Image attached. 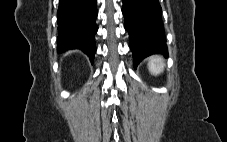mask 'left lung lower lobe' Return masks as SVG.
Instances as JSON below:
<instances>
[{
	"mask_svg": "<svg viewBox=\"0 0 227 142\" xmlns=\"http://www.w3.org/2000/svg\"><path fill=\"white\" fill-rule=\"evenodd\" d=\"M122 13L125 29L129 33L134 67L145 57L162 53L167 56V46L158 0H123Z\"/></svg>",
	"mask_w": 227,
	"mask_h": 142,
	"instance_id": "1",
	"label": "left lung lower lobe"
}]
</instances>
